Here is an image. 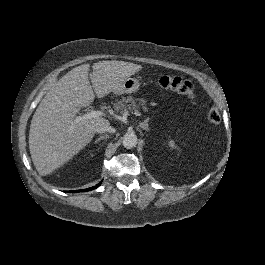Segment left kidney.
Instances as JSON below:
<instances>
[{"label":"left kidney","mask_w":265,"mask_h":265,"mask_svg":"<svg viewBox=\"0 0 265 265\" xmlns=\"http://www.w3.org/2000/svg\"><path fill=\"white\" fill-rule=\"evenodd\" d=\"M168 144H169L170 147H172V148H174V149H179V148L175 145V142H174L173 140H170Z\"/></svg>","instance_id":"left-kidney-1"}]
</instances>
